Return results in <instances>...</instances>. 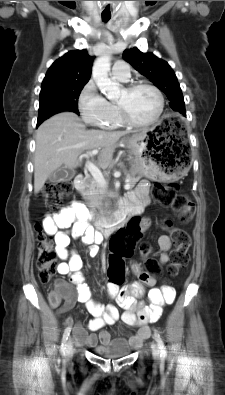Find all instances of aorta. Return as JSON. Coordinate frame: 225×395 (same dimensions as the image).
Returning a JSON list of instances; mask_svg holds the SVG:
<instances>
[{
	"label": "aorta",
	"instance_id": "762f6f07",
	"mask_svg": "<svg viewBox=\"0 0 225 395\" xmlns=\"http://www.w3.org/2000/svg\"><path fill=\"white\" fill-rule=\"evenodd\" d=\"M111 57L109 54L102 55L96 59L92 68V77L102 91V93L110 100L118 99L120 96L119 84L113 82L108 73L110 72Z\"/></svg>",
	"mask_w": 225,
	"mask_h": 395
}]
</instances>
